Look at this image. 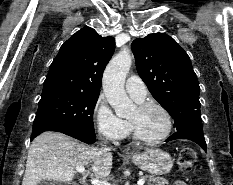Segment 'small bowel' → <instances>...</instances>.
Returning a JSON list of instances; mask_svg holds the SVG:
<instances>
[{
  "instance_id": "obj_1",
  "label": "small bowel",
  "mask_w": 233,
  "mask_h": 185,
  "mask_svg": "<svg viewBox=\"0 0 233 185\" xmlns=\"http://www.w3.org/2000/svg\"><path fill=\"white\" fill-rule=\"evenodd\" d=\"M173 185H187L184 181H176Z\"/></svg>"
}]
</instances>
